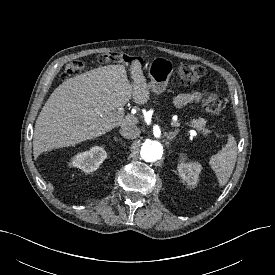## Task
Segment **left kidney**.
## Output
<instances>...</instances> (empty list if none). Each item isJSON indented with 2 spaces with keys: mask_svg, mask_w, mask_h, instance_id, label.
<instances>
[{
  "mask_svg": "<svg viewBox=\"0 0 275 275\" xmlns=\"http://www.w3.org/2000/svg\"><path fill=\"white\" fill-rule=\"evenodd\" d=\"M186 155H180V163L178 164V172L182 180L188 185L195 186L198 183L201 165L198 162H186Z\"/></svg>",
  "mask_w": 275,
  "mask_h": 275,
  "instance_id": "1",
  "label": "left kidney"
}]
</instances>
